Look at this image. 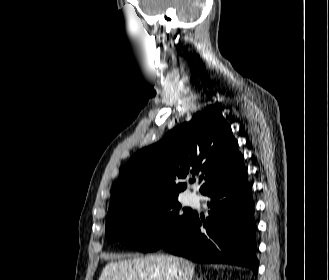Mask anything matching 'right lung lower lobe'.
<instances>
[{"label": "right lung lower lobe", "instance_id": "1", "mask_svg": "<svg viewBox=\"0 0 329 280\" xmlns=\"http://www.w3.org/2000/svg\"><path fill=\"white\" fill-rule=\"evenodd\" d=\"M247 171L241 163L201 193L211 200L209 217L195 213L185 229L161 248L201 263H228L249 267L257 275L254 203ZM205 230H200L201 226Z\"/></svg>", "mask_w": 329, "mask_h": 280}]
</instances>
